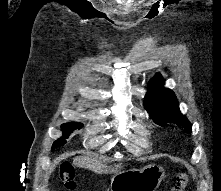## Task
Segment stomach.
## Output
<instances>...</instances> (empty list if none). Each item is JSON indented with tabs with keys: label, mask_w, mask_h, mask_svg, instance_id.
<instances>
[{
	"label": "stomach",
	"mask_w": 221,
	"mask_h": 191,
	"mask_svg": "<svg viewBox=\"0 0 221 191\" xmlns=\"http://www.w3.org/2000/svg\"><path fill=\"white\" fill-rule=\"evenodd\" d=\"M163 177L164 169L156 164L116 172L111 176V191H156Z\"/></svg>",
	"instance_id": "1"
}]
</instances>
